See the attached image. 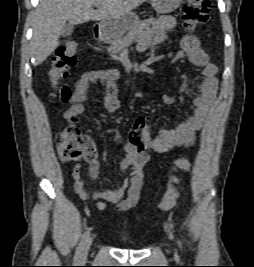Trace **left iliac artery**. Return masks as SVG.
Instances as JSON below:
<instances>
[{
    "label": "left iliac artery",
    "instance_id": "44dca946",
    "mask_svg": "<svg viewBox=\"0 0 254 267\" xmlns=\"http://www.w3.org/2000/svg\"><path fill=\"white\" fill-rule=\"evenodd\" d=\"M178 243H179V246L182 247L180 241H178Z\"/></svg>",
    "mask_w": 254,
    "mask_h": 267
}]
</instances>
